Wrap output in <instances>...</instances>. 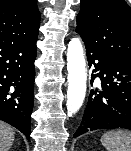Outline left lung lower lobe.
Returning <instances> with one entry per match:
<instances>
[{
    "instance_id": "0a47b994",
    "label": "left lung lower lobe",
    "mask_w": 131,
    "mask_h": 151,
    "mask_svg": "<svg viewBox=\"0 0 131 151\" xmlns=\"http://www.w3.org/2000/svg\"><path fill=\"white\" fill-rule=\"evenodd\" d=\"M85 46L88 64L93 65L91 85L99 77L101 86L91 90L74 137L101 129L131 130V64Z\"/></svg>"
}]
</instances>
